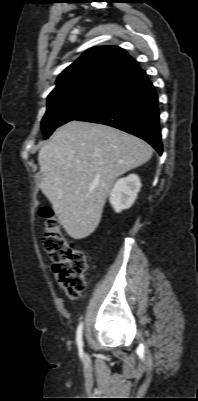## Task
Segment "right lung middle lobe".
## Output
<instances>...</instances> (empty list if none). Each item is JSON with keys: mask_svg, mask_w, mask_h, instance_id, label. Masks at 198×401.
<instances>
[{"mask_svg": "<svg viewBox=\"0 0 198 401\" xmlns=\"http://www.w3.org/2000/svg\"><path fill=\"white\" fill-rule=\"evenodd\" d=\"M108 89L85 87L48 98L47 111L41 122L44 138L47 139L57 127L93 109Z\"/></svg>", "mask_w": 198, "mask_h": 401, "instance_id": "dd1d6c3e", "label": "right lung middle lobe"}]
</instances>
